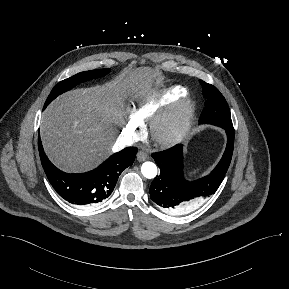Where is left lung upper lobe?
<instances>
[{
	"label": "left lung upper lobe",
	"instance_id": "left-lung-upper-lobe-1",
	"mask_svg": "<svg viewBox=\"0 0 289 289\" xmlns=\"http://www.w3.org/2000/svg\"><path fill=\"white\" fill-rule=\"evenodd\" d=\"M203 96L207 99L205 109L201 114L200 123H208L220 127L233 126L228 104L219 92L211 84L200 80Z\"/></svg>",
	"mask_w": 289,
	"mask_h": 289
}]
</instances>
